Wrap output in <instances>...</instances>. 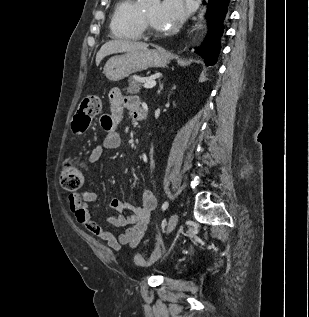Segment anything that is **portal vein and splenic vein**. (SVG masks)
I'll return each instance as SVG.
<instances>
[{
	"label": "portal vein and splenic vein",
	"instance_id": "1",
	"mask_svg": "<svg viewBox=\"0 0 309 317\" xmlns=\"http://www.w3.org/2000/svg\"><path fill=\"white\" fill-rule=\"evenodd\" d=\"M156 85V81L155 80H146L143 84V87L146 89H151Z\"/></svg>",
	"mask_w": 309,
	"mask_h": 317
}]
</instances>
